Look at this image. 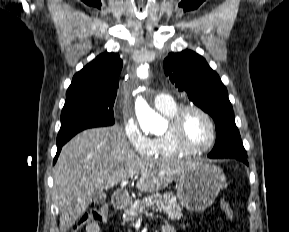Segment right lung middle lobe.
<instances>
[{
    "mask_svg": "<svg viewBox=\"0 0 289 232\" xmlns=\"http://www.w3.org/2000/svg\"><path fill=\"white\" fill-rule=\"evenodd\" d=\"M115 97L93 96L67 100L61 113V128L57 146L64 145L78 132L115 123L113 106Z\"/></svg>",
    "mask_w": 289,
    "mask_h": 232,
    "instance_id": "dd1d6c3e",
    "label": "right lung middle lobe"
}]
</instances>
